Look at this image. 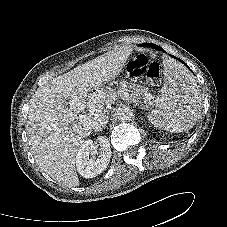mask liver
Wrapping results in <instances>:
<instances>
[{"label": "liver", "instance_id": "obj_1", "mask_svg": "<svg viewBox=\"0 0 227 227\" xmlns=\"http://www.w3.org/2000/svg\"><path fill=\"white\" fill-rule=\"evenodd\" d=\"M131 51L114 48L53 78L30 99L26 131L31 152L41 170L66 187L79 185L76 155L92 131L91 124H76L77 115L88 108L91 123L102 112L106 100L99 89L120 74Z\"/></svg>", "mask_w": 227, "mask_h": 227}]
</instances>
